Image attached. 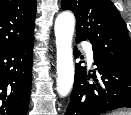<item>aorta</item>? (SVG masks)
<instances>
[{"label": "aorta", "mask_w": 131, "mask_h": 115, "mask_svg": "<svg viewBox=\"0 0 131 115\" xmlns=\"http://www.w3.org/2000/svg\"><path fill=\"white\" fill-rule=\"evenodd\" d=\"M75 18L70 12L60 13L55 21L57 49V92L65 97L72 89L74 82V64L72 54V37Z\"/></svg>", "instance_id": "762f6f07"}]
</instances>
